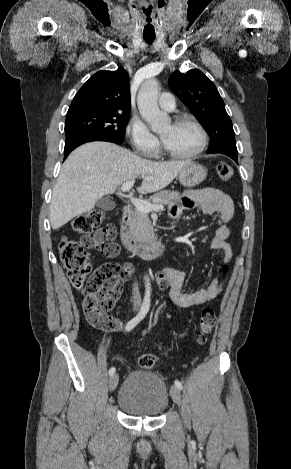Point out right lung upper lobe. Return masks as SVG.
I'll use <instances>...</instances> for the list:
<instances>
[{"instance_id": "right-lung-upper-lobe-1", "label": "right lung upper lobe", "mask_w": 291, "mask_h": 469, "mask_svg": "<svg viewBox=\"0 0 291 469\" xmlns=\"http://www.w3.org/2000/svg\"><path fill=\"white\" fill-rule=\"evenodd\" d=\"M104 110L130 113L129 77L123 68L95 73L75 95L68 113Z\"/></svg>"}]
</instances>
